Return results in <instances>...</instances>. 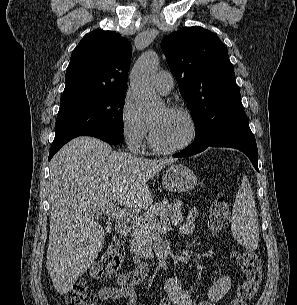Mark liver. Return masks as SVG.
Returning <instances> with one entry per match:
<instances>
[{
  "instance_id": "1",
  "label": "liver",
  "mask_w": 297,
  "mask_h": 305,
  "mask_svg": "<svg viewBox=\"0 0 297 305\" xmlns=\"http://www.w3.org/2000/svg\"><path fill=\"white\" fill-rule=\"evenodd\" d=\"M174 161L116 152L107 143L87 136L71 140L54 155L46 267L59 294L71 290L103 248L104 229L96 222L99 209L115 203L149 206L153 198L148 181Z\"/></svg>"
}]
</instances>
